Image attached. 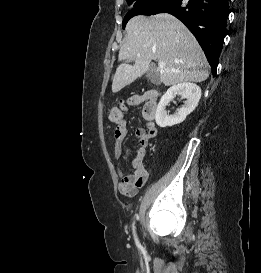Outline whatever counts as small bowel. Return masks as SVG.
Here are the masks:
<instances>
[{"label": "small bowel", "instance_id": "small-bowel-1", "mask_svg": "<svg viewBox=\"0 0 261 273\" xmlns=\"http://www.w3.org/2000/svg\"><path fill=\"white\" fill-rule=\"evenodd\" d=\"M141 103H145L142 110V116L147 125L146 128L139 127L135 130V137L138 141L139 148L136 151L134 159L130 163L133 172L126 175L122 170L119 169L118 171L121 180L118 184V191L126 197L135 196L147 180V171L143 165L147 153L146 148L149 141L157 134V124L154 120L157 110L156 100L151 99L150 92H145L132 96L128 101V105L130 106H136ZM127 135L128 128L126 120L123 119L118 123L114 133L115 143L113 148V159L117 162H120L123 159L122 145L127 138Z\"/></svg>", "mask_w": 261, "mask_h": 273}]
</instances>
